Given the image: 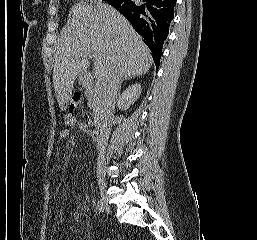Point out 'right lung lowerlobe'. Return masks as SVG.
I'll return each instance as SVG.
<instances>
[{
  "label": "right lung lower lobe",
  "mask_w": 257,
  "mask_h": 240,
  "mask_svg": "<svg viewBox=\"0 0 257 240\" xmlns=\"http://www.w3.org/2000/svg\"><path fill=\"white\" fill-rule=\"evenodd\" d=\"M177 0H113L109 2L133 25L152 52L156 69L168 36Z\"/></svg>",
  "instance_id": "right-lung-lower-lobe-1"
}]
</instances>
